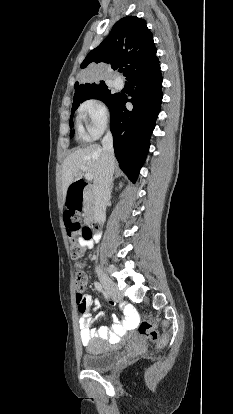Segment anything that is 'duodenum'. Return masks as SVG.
<instances>
[{"mask_svg": "<svg viewBox=\"0 0 233 414\" xmlns=\"http://www.w3.org/2000/svg\"><path fill=\"white\" fill-rule=\"evenodd\" d=\"M74 185H68L67 194H71L68 198L70 202L67 205V210L69 212H79L81 210V204H86V209L84 210V220L91 222L93 220V210H92V191L93 188L88 185L83 180L74 181Z\"/></svg>", "mask_w": 233, "mask_h": 414, "instance_id": "duodenum-1", "label": "duodenum"}]
</instances>
